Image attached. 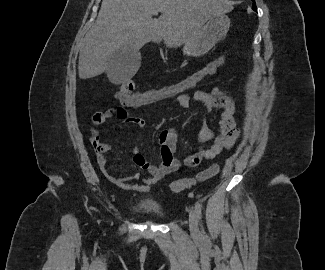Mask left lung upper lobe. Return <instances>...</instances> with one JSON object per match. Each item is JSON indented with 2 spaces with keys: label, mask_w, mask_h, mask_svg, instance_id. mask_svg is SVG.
Returning a JSON list of instances; mask_svg holds the SVG:
<instances>
[{
  "label": "left lung upper lobe",
  "mask_w": 325,
  "mask_h": 270,
  "mask_svg": "<svg viewBox=\"0 0 325 270\" xmlns=\"http://www.w3.org/2000/svg\"><path fill=\"white\" fill-rule=\"evenodd\" d=\"M252 1L254 2V4H253V7H252V8H253L254 10H256L255 0H252Z\"/></svg>",
  "instance_id": "obj_1"
}]
</instances>
